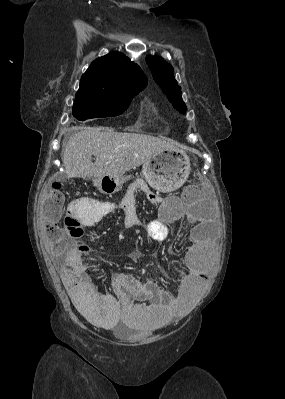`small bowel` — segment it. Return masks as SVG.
<instances>
[{"label":"small bowel","instance_id":"c3829d8e","mask_svg":"<svg viewBox=\"0 0 285 399\" xmlns=\"http://www.w3.org/2000/svg\"><path fill=\"white\" fill-rule=\"evenodd\" d=\"M136 191L145 192L148 200L159 205L164 214L177 218H194L197 212L196 207L190 208L173 198L163 200L147 192L138 182L128 188L119 205L84 197L69 203L64 225L72 241L65 245L66 255L60 270L62 282L76 310L105 329L126 322L142 330L152 331L187 316L207 276L203 231L197 229L189 236L183 265L171 276V281L177 286V294L162 289L154 282L137 281L127 273L113 277L111 292L99 294L94 289L87 269L90 248L81 241L84 230L98 225L105 215L117 210L122 212L128 228L142 226L136 209ZM143 226L148 239L152 241L167 240L170 237L162 219H152Z\"/></svg>","mask_w":285,"mask_h":399}]
</instances>
